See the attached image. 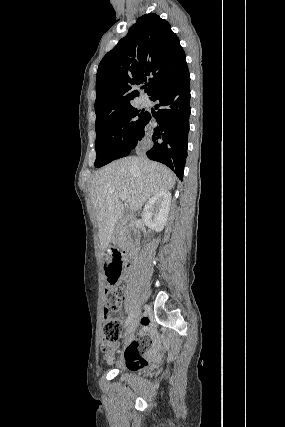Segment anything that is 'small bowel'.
<instances>
[{
	"mask_svg": "<svg viewBox=\"0 0 285 427\" xmlns=\"http://www.w3.org/2000/svg\"><path fill=\"white\" fill-rule=\"evenodd\" d=\"M143 325L149 326L150 322L144 321ZM160 356V343L151 345L150 340L146 338L131 340L124 353L125 363L133 369L151 366L158 362Z\"/></svg>",
	"mask_w": 285,
	"mask_h": 427,
	"instance_id": "c3829d8e",
	"label": "small bowel"
}]
</instances>
